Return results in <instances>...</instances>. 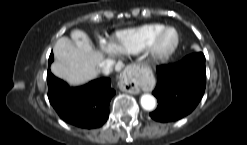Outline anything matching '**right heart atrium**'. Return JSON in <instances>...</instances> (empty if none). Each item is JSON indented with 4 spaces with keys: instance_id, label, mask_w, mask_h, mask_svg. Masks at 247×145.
Wrapping results in <instances>:
<instances>
[{
    "instance_id": "obj_1",
    "label": "right heart atrium",
    "mask_w": 247,
    "mask_h": 145,
    "mask_svg": "<svg viewBox=\"0 0 247 145\" xmlns=\"http://www.w3.org/2000/svg\"><path fill=\"white\" fill-rule=\"evenodd\" d=\"M105 51H107V52H109L111 54L115 53V51H114V49L112 47L111 48H106Z\"/></svg>"
}]
</instances>
